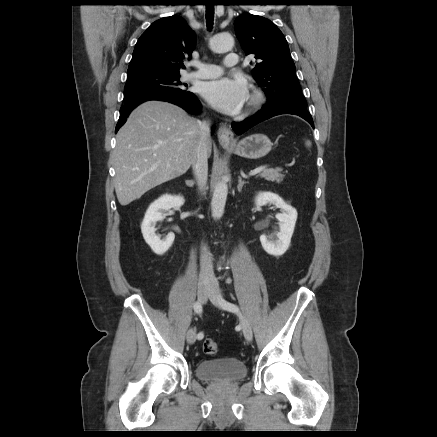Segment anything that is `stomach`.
I'll list each match as a JSON object with an SVG mask.
<instances>
[{"label": "stomach", "instance_id": "0dacf381", "mask_svg": "<svg viewBox=\"0 0 437 437\" xmlns=\"http://www.w3.org/2000/svg\"><path fill=\"white\" fill-rule=\"evenodd\" d=\"M271 140L264 134H252L240 140L237 144H225L226 149L232 150L236 155L247 159H260L272 149Z\"/></svg>", "mask_w": 437, "mask_h": 437}]
</instances>
